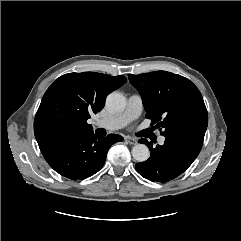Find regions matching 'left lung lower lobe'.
<instances>
[{
  "label": "left lung lower lobe",
  "mask_w": 241,
  "mask_h": 241,
  "mask_svg": "<svg viewBox=\"0 0 241 241\" xmlns=\"http://www.w3.org/2000/svg\"><path fill=\"white\" fill-rule=\"evenodd\" d=\"M204 140L203 133L168 136L164 145L153 148L152 142L142 139L151 151L150 158L137 163V172L153 182L165 183L175 179L192 164L198 156Z\"/></svg>",
  "instance_id": "obj_1"
}]
</instances>
